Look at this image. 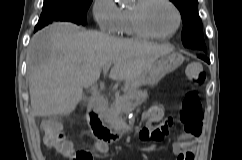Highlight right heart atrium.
Returning a JSON list of instances; mask_svg holds the SVG:
<instances>
[{"label": "right heart atrium", "instance_id": "d8ad5b80", "mask_svg": "<svg viewBox=\"0 0 242 160\" xmlns=\"http://www.w3.org/2000/svg\"><path fill=\"white\" fill-rule=\"evenodd\" d=\"M92 15L100 30L117 33L120 9L114 0H93Z\"/></svg>", "mask_w": 242, "mask_h": 160}]
</instances>
